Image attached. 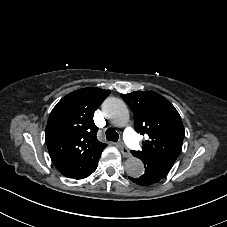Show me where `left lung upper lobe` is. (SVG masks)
Segmentation results:
<instances>
[{
    "label": "left lung upper lobe",
    "mask_w": 227,
    "mask_h": 227,
    "mask_svg": "<svg viewBox=\"0 0 227 227\" xmlns=\"http://www.w3.org/2000/svg\"><path fill=\"white\" fill-rule=\"evenodd\" d=\"M134 114L135 130L148 135L141 151H131L146 168L166 176L182 150L185 131L178 111L152 91L121 94Z\"/></svg>",
    "instance_id": "1"
}]
</instances>
